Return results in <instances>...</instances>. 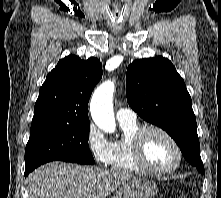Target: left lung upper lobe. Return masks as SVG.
Masks as SVG:
<instances>
[{
    "label": "left lung upper lobe",
    "mask_w": 221,
    "mask_h": 198,
    "mask_svg": "<svg viewBox=\"0 0 221 198\" xmlns=\"http://www.w3.org/2000/svg\"><path fill=\"white\" fill-rule=\"evenodd\" d=\"M126 96L139 116L165 130L180 147L184 158L204 173L192 100L170 60L158 56L130 64Z\"/></svg>",
    "instance_id": "obj_1"
}]
</instances>
